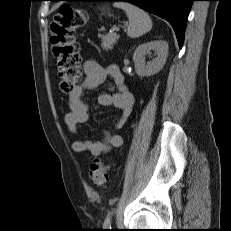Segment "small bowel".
<instances>
[{
	"instance_id": "small-bowel-1",
	"label": "small bowel",
	"mask_w": 231,
	"mask_h": 231,
	"mask_svg": "<svg viewBox=\"0 0 231 231\" xmlns=\"http://www.w3.org/2000/svg\"><path fill=\"white\" fill-rule=\"evenodd\" d=\"M85 79L82 84L76 86L68 94L69 111L65 115V123L70 133H76L80 124L89 120V105L83 99L84 90H91L111 79L118 91L114 93H102L98 97L101 106H114L121 111V115L115 123V129H121L129 120L133 104V94L124 84V77L115 64L107 67L101 66L96 60L88 59L83 64ZM122 137L119 134L103 133L101 140L85 139L75 141L72 149L77 153H90L93 156L106 154L113 148L122 145Z\"/></svg>"
}]
</instances>
